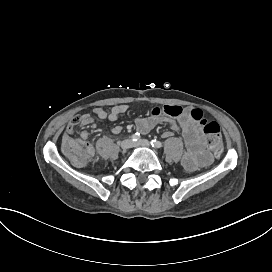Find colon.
Instances as JSON below:
<instances>
[{
	"label": "colon",
	"instance_id": "colon-1",
	"mask_svg": "<svg viewBox=\"0 0 272 272\" xmlns=\"http://www.w3.org/2000/svg\"><path fill=\"white\" fill-rule=\"evenodd\" d=\"M191 115L202 127L207 148L214 154L219 155L223 149V137L220 125L215 121L203 119L200 112H193ZM61 148L64 153L68 154L76 168L80 170L89 168L91 164L90 158L93 155L89 141L80 139V137L76 135H71L63 139Z\"/></svg>",
	"mask_w": 272,
	"mask_h": 272
}]
</instances>
